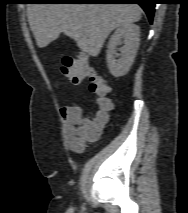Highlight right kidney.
I'll return each instance as SVG.
<instances>
[{
    "label": "right kidney",
    "mask_w": 188,
    "mask_h": 213,
    "mask_svg": "<svg viewBox=\"0 0 188 213\" xmlns=\"http://www.w3.org/2000/svg\"><path fill=\"white\" fill-rule=\"evenodd\" d=\"M124 46L117 49L122 43ZM140 41V27L135 24H126L118 27L111 36L107 46V65L114 77H121L130 70ZM119 51L120 53H117ZM117 57H120L117 59Z\"/></svg>",
    "instance_id": "ca27d5eb"
}]
</instances>
